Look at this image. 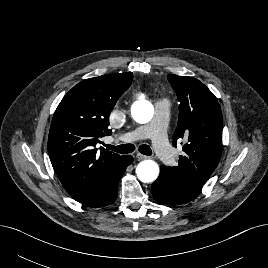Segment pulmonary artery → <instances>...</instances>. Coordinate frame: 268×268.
I'll use <instances>...</instances> for the list:
<instances>
[{"mask_svg":"<svg viewBox=\"0 0 268 268\" xmlns=\"http://www.w3.org/2000/svg\"><path fill=\"white\" fill-rule=\"evenodd\" d=\"M156 119L153 123L139 126L130 131L126 140L128 142L140 141L151 138L156 154L167 164L174 162V153L166 138L167 117L169 114V103L167 100H158L155 103ZM116 139L113 138V141Z\"/></svg>","mask_w":268,"mask_h":268,"instance_id":"e3ab8cb5","label":"pulmonary artery"}]
</instances>
